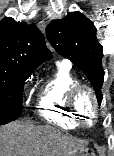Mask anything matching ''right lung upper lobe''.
<instances>
[{
  "label": "right lung upper lobe",
  "instance_id": "cb5924a9",
  "mask_svg": "<svg viewBox=\"0 0 114 156\" xmlns=\"http://www.w3.org/2000/svg\"><path fill=\"white\" fill-rule=\"evenodd\" d=\"M50 58L44 37L35 25L8 17L0 21V71L32 73Z\"/></svg>",
  "mask_w": 114,
  "mask_h": 156
}]
</instances>
